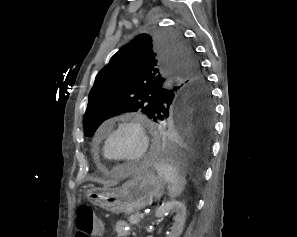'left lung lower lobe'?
I'll return each mask as SVG.
<instances>
[{
    "label": "left lung lower lobe",
    "mask_w": 297,
    "mask_h": 237,
    "mask_svg": "<svg viewBox=\"0 0 297 237\" xmlns=\"http://www.w3.org/2000/svg\"><path fill=\"white\" fill-rule=\"evenodd\" d=\"M213 117L212 100L170 105L165 115L169 119L152 155L179 166H200L209 153Z\"/></svg>",
    "instance_id": "obj_1"
}]
</instances>
